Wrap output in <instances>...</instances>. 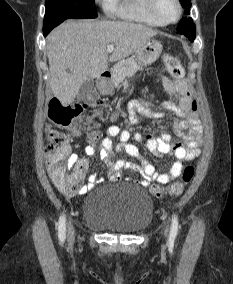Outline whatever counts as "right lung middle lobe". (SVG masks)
<instances>
[{
    "label": "right lung middle lobe",
    "instance_id": "1",
    "mask_svg": "<svg viewBox=\"0 0 233 284\" xmlns=\"http://www.w3.org/2000/svg\"><path fill=\"white\" fill-rule=\"evenodd\" d=\"M43 30L53 29L68 18H96L94 0H45Z\"/></svg>",
    "mask_w": 233,
    "mask_h": 284
}]
</instances>
